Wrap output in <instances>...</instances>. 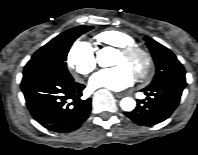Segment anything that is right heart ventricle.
Masks as SVG:
<instances>
[{
	"label": "right heart ventricle",
	"instance_id": "right-heart-ventricle-1",
	"mask_svg": "<svg viewBox=\"0 0 198 155\" xmlns=\"http://www.w3.org/2000/svg\"><path fill=\"white\" fill-rule=\"evenodd\" d=\"M96 39L106 45L116 48L133 45L135 43L134 39L129 34L116 29L101 31L96 35Z\"/></svg>",
	"mask_w": 198,
	"mask_h": 155
}]
</instances>
